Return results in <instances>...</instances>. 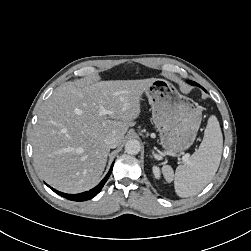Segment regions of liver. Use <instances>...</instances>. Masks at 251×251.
<instances>
[{"instance_id":"6515ba94","label":"liver","mask_w":251,"mask_h":251,"mask_svg":"<svg viewBox=\"0 0 251 251\" xmlns=\"http://www.w3.org/2000/svg\"><path fill=\"white\" fill-rule=\"evenodd\" d=\"M154 80H79L57 87L42 105L32 136L35 166L44 180L66 193L94 187L110 152L105 138L116 135L122 143ZM101 107L111 113L101 115Z\"/></svg>"}]
</instances>
